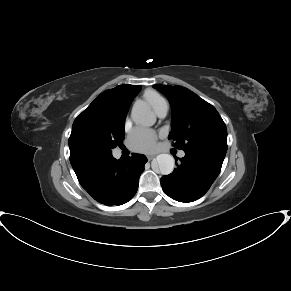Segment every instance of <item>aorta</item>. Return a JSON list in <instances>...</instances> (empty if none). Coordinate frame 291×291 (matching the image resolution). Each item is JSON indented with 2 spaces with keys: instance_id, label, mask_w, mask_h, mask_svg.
<instances>
[{
  "instance_id": "obj_1",
  "label": "aorta",
  "mask_w": 291,
  "mask_h": 291,
  "mask_svg": "<svg viewBox=\"0 0 291 291\" xmlns=\"http://www.w3.org/2000/svg\"><path fill=\"white\" fill-rule=\"evenodd\" d=\"M131 118L134 123L146 127L153 126L156 116L151 109L144 103L135 104L132 108ZM157 167L162 175L172 173L174 169V158L169 154H159L156 157Z\"/></svg>"
}]
</instances>
